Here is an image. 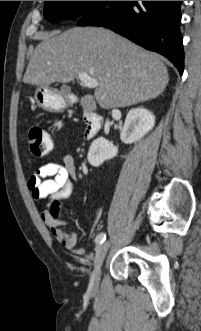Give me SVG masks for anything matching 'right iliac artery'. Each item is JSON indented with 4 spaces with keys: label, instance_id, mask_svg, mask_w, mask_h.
I'll use <instances>...</instances> for the list:
<instances>
[{
    "label": "right iliac artery",
    "instance_id": "1",
    "mask_svg": "<svg viewBox=\"0 0 201 331\" xmlns=\"http://www.w3.org/2000/svg\"><path fill=\"white\" fill-rule=\"evenodd\" d=\"M106 239V234L105 233H100L96 236L95 238V243L97 245L102 244Z\"/></svg>",
    "mask_w": 201,
    "mask_h": 331
}]
</instances>
